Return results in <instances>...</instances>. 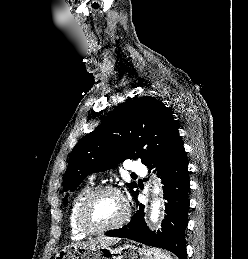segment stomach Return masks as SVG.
<instances>
[{
	"label": "stomach",
	"mask_w": 248,
	"mask_h": 259,
	"mask_svg": "<svg viewBox=\"0 0 248 259\" xmlns=\"http://www.w3.org/2000/svg\"><path fill=\"white\" fill-rule=\"evenodd\" d=\"M55 259H155V249L139 248L132 244L94 249L69 246L58 252Z\"/></svg>",
	"instance_id": "0dacf381"
}]
</instances>
